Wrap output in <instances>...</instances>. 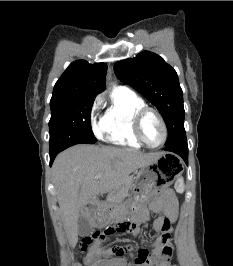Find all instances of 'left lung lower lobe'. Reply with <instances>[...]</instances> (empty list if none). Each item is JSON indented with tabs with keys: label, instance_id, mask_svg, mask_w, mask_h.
Returning a JSON list of instances; mask_svg holds the SVG:
<instances>
[{
	"label": "left lung lower lobe",
	"instance_id": "1",
	"mask_svg": "<svg viewBox=\"0 0 233 266\" xmlns=\"http://www.w3.org/2000/svg\"><path fill=\"white\" fill-rule=\"evenodd\" d=\"M164 150L178 154L188 165V146L185 133L177 136L169 143H166Z\"/></svg>",
	"mask_w": 233,
	"mask_h": 266
}]
</instances>
